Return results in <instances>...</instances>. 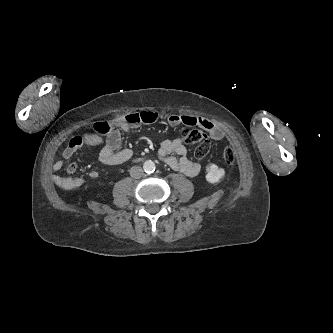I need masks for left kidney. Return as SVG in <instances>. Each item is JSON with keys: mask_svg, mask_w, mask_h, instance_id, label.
Listing matches in <instances>:
<instances>
[{"mask_svg": "<svg viewBox=\"0 0 333 333\" xmlns=\"http://www.w3.org/2000/svg\"><path fill=\"white\" fill-rule=\"evenodd\" d=\"M206 171V180L212 184L219 182L225 176V170L213 163L207 166Z\"/></svg>", "mask_w": 333, "mask_h": 333, "instance_id": "1", "label": "left kidney"}]
</instances>
